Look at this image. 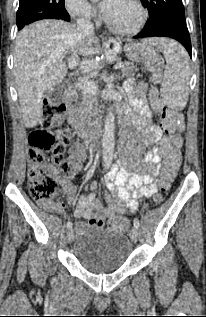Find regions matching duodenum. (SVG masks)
Returning a JSON list of instances; mask_svg holds the SVG:
<instances>
[{"instance_id": "410a0bca", "label": "duodenum", "mask_w": 206, "mask_h": 317, "mask_svg": "<svg viewBox=\"0 0 206 317\" xmlns=\"http://www.w3.org/2000/svg\"><path fill=\"white\" fill-rule=\"evenodd\" d=\"M64 107L67 108V118L75 128L77 136L86 142H92L97 135V126L81 122L76 110L73 108L72 101H65ZM102 135L104 136L105 134L103 133Z\"/></svg>"}]
</instances>
